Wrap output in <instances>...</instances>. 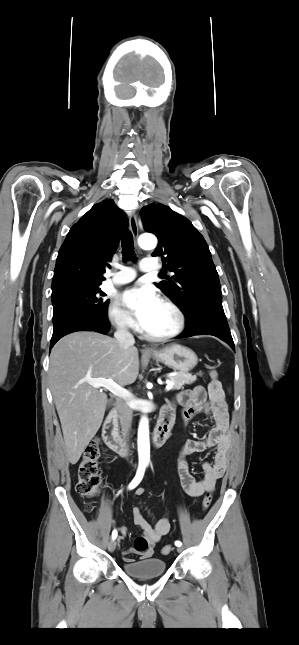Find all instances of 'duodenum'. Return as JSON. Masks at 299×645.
I'll use <instances>...</instances> for the list:
<instances>
[{
	"mask_svg": "<svg viewBox=\"0 0 299 645\" xmlns=\"http://www.w3.org/2000/svg\"><path fill=\"white\" fill-rule=\"evenodd\" d=\"M173 423L174 418L169 411V408L165 406L160 413L158 424L153 433V442L155 446L160 447L166 442L173 427ZM102 436L104 442L111 450L122 456L127 455V444L122 439L118 431V412L116 409H113L107 416L103 426Z\"/></svg>",
	"mask_w": 299,
	"mask_h": 645,
	"instance_id": "duodenum-1",
	"label": "duodenum"
}]
</instances>
